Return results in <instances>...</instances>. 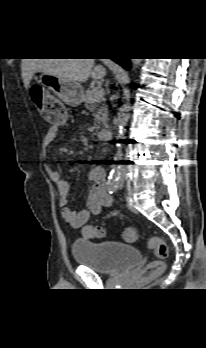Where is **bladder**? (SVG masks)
Listing matches in <instances>:
<instances>
[{
    "mask_svg": "<svg viewBox=\"0 0 206 348\" xmlns=\"http://www.w3.org/2000/svg\"><path fill=\"white\" fill-rule=\"evenodd\" d=\"M72 254L78 265L102 274L120 273L141 259L136 247L114 241L77 240L72 244Z\"/></svg>",
    "mask_w": 206,
    "mask_h": 348,
    "instance_id": "bladder-1",
    "label": "bladder"
}]
</instances>
